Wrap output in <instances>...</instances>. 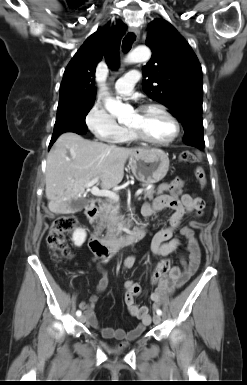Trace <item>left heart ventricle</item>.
Returning <instances> with one entry per match:
<instances>
[{
    "label": "left heart ventricle",
    "instance_id": "obj_1",
    "mask_svg": "<svg viewBox=\"0 0 247 385\" xmlns=\"http://www.w3.org/2000/svg\"><path fill=\"white\" fill-rule=\"evenodd\" d=\"M128 125L153 140H167L174 131L171 121L158 110L135 111Z\"/></svg>",
    "mask_w": 247,
    "mask_h": 385
}]
</instances>
